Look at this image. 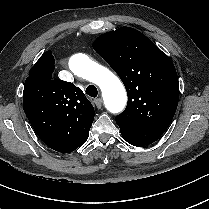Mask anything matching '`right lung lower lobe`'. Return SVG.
<instances>
[{
	"mask_svg": "<svg viewBox=\"0 0 209 209\" xmlns=\"http://www.w3.org/2000/svg\"><path fill=\"white\" fill-rule=\"evenodd\" d=\"M33 129L36 132V134L42 139V141L51 149L62 153L72 152L70 146L66 144H61L59 141H56V138L53 135L54 131L52 129L36 127H33Z\"/></svg>",
	"mask_w": 209,
	"mask_h": 209,
	"instance_id": "right-lung-lower-lobe-1",
	"label": "right lung lower lobe"
}]
</instances>
